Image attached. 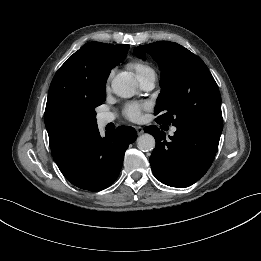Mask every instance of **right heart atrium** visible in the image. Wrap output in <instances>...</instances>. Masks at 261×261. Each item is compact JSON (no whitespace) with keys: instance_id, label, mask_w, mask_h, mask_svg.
I'll list each match as a JSON object with an SVG mask.
<instances>
[{"instance_id":"d8ad5b80","label":"right heart atrium","mask_w":261,"mask_h":261,"mask_svg":"<svg viewBox=\"0 0 261 261\" xmlns=\"http://www.w3.org/2000/svg\"><path fill=\"white\" fill-rule=\"evenodd\" d=\"M112 76H113V72H110V74L108 75L107 80H106L107 86H109Z\"/></svg>"}]
</instances>
